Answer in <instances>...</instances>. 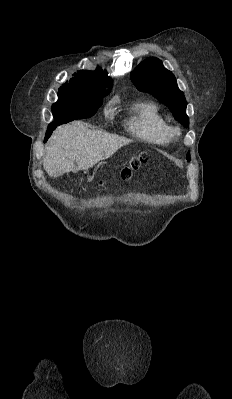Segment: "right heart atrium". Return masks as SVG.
I'll return each mask as SVG.
<instances>
[{"label":"right heart atrium","mask_w":232,"mask_h":399,"mask_svg":"<svg viewBox=\"0 0 232 399\" xmlns=\"http://www.w3.org/2000/svg\"><path fill=\"white\" fill-rule=\"evenodd\" d=\"M109 113H110V109H109V108H105V109H104V115H105V116H108Z\"/></svg>","instance_id":"obj_1"}]
</instances>
